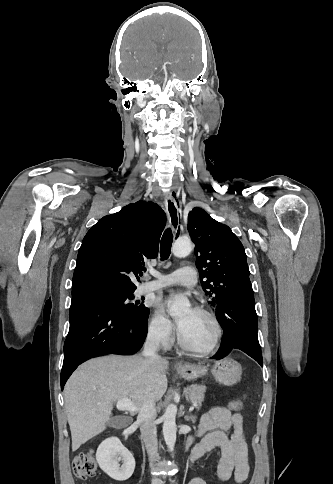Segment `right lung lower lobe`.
I'll use <instances>...</instances> for the list:
<instances>
[{
    "label": "right lung lower lobe",
    "instance_id": "obj_1",
    "mask_svg": "<svg viewBox=\"0 0 333 484\" xmlns=\"http://www.w3.org/2000/svg\"><path fill=\"white\" fill-rule=\"evenodd\" d=\"M69 319L62 389L82 362L105 354H134L142 347L147 334V321H137L116 310L107 298L95 291L72 295Z\"/></svg>",
    "mask_w": 333,
    "mask_h": 484
}]
</instances>
